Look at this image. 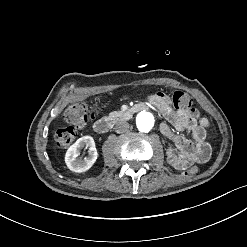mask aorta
<instances>
[{
	"mask_svg": "<svg viewBox=\"0 0 247 247\" xmlns=\"http://www.w3.org/2000/svg\"><path fill=\"white\" fill-rule=\"evenodd\" d=\"M137 127L141 132H149L154 126V117L151 113L140 112L136 119Z\"/></svg>",
	"mask_w": 247,
	"mask_h": 247,
	"instance_id": "762f6f07",
	"label": "aorta"
}]
</instances>
